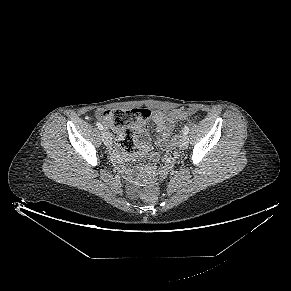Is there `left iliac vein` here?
I'll return each instance as SVG.
<instances>
[{
	"label": "left iliac vein",
	"instance_id": "1",
	"mask_svg": "<svg viewBox=\"0 0 291 291\" xmlns=\"http://www.w3.org/2000/svg\"><path fill=\"white\" fill-rule=\"evenodd\" d=\"M179 145L182 149L187 148L188 146V137L187 135L183 134L180 136Z\"/></svg>",
	"mask_w": 291,
	"mask_h": 291
}]
</instances>
